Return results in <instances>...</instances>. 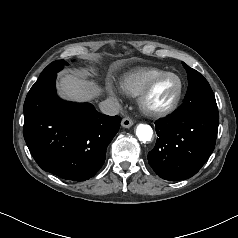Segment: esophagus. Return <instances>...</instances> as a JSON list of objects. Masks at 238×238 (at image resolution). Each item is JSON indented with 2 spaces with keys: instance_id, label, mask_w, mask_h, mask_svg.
I'll return each mask as SVG.
<instances>
[{
  "instance_id": "obj_1",
  "label": "esophagus",
  "mask_w": 238,
  "mask_h": 238,
  "mask_svg": "<svg viewBox=\"0 0 238 238\" xmlns=\"http://www.w3.org/2000/svg\"><path fill=\"white\" fill-rule=\"evenodd\" d=\"M134 124V121L130 117L123 118L121 125L124 128H130Z\"/></svg>"
}]
</instances>
